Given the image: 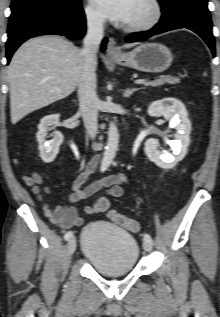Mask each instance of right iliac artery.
Here are the masks:
<instances>
[{
    "instance_id": "1",
    "label": "right iliac artery",
    "mask_w": 220,
    "mask_h": 317,
    "mask_svg": "<svg viewBox=\"0 0 220 317\" xmlns=\"http://www.w3.org/2000/svg\"><path fill=\"white\" fill-rule=\"evenodd\" d=\"M72 237H73V232H72V231H68V232L65 234V236H64L65 240H69V239H71Z\"/></svg>"
}]
</instances>
